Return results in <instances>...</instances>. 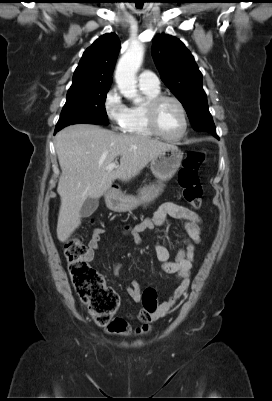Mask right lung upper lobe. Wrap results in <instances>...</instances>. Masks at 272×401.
Returning a JSON list of instances; mask_svg holds the SVG:
<instances>
[{"label":"right lung upper lobe","mask_w":272,"mask_h":401,"mask_svg":"<svg viewBox=\"0 0 272 401\" xmlns=\"http://www.w3.org/2000/svg\"><path fill=\"white\" fill-rule=\"evenodd\" d=\"M119 49L120 41L116 34L110 33L99 37L83 53L67 94L110 87Z\"/></svg>","instance_id":"right-lung-upper-lobe-1"}]
</instances>
